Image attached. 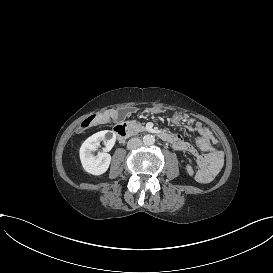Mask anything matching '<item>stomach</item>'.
Here are the masks:
<instances>
[{
	"mask_svg": "<svg viewBox=\"0 0 273 273\" xmlns=\"http://www.w3.org/2000/svg\"><path fill=\"white\" fill-rule=\"evenodd\" d=\"M151 111L155 114H160L163 112V109L156 107V108H151ZM186 118L187 116L180 112H174L171 115V120L173 124H180L183 120H186Z\"/></svg>",
	"mask_w": 273,
	"mask_h": 273,
	"instance_id": "stomach-1",
	"label": "stomach"
}]
</instances>
